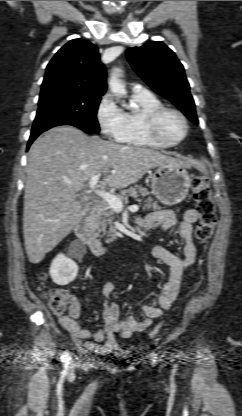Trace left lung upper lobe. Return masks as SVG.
Wrapping results in <instances>:
<instances>
[{"instance_id": "5c2ea615", "label": "left lung upper lobe", "mask_w": 242, "mask_h": 416, "mask_svg": "<svg viewBox=\"0 0 242 416\" xmlns=\"http://www.w3.org/2000/svg\"><path fill=\"white\" fill-rule=\"evenodd\" d=\"M126 54L133 69L155 92L170 100L195 124L199 123L183 65L170 48L161 41H151L129 48Z\"/></svg>"}]
</instances>
